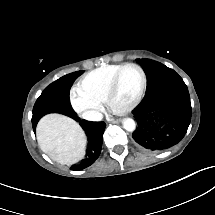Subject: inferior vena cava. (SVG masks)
I'll return each instance as SVG.
<instances>
[{"instance_id":"inferior-vena-cava-1","label":"inferior vena cava","mask_w":215,"mask_h":215,"mask_svg":"<svg viewBox=\"0 0 215 215\" xmlns=\"http://www.w3.org/2000/svg\"><path fill=\"white\" fill-rule=\"evenodd\" d=\"M82 117L89 121H100L103 119V114L97 110H89V111H85L82 114Z\"/></svg>"}]
</instances>
